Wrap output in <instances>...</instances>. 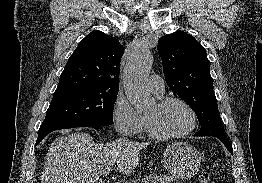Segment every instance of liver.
<instances>
[{
  "instance_id": "1",
  "label": "liver",
  "mask_w": 262,
  "mask_h": 183,
  "mask_svg": "<svg viewBox=\"0 0 262 183\" xmlns=\"http://www.w3.org/2000/svg\"><path fill=\"white\" fill-rule=\"evenodd\" d=\"M149 144L125 138L98 144L85 132L56 138L49 147L41 183H105L101 174L115 163L117 171L128 175L139 164L140 150Z\"/></svg>"
}]
</instances>
